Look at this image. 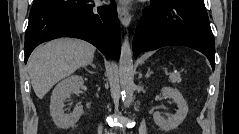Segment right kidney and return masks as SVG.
I'll return each instance as SVG.
<instances>
[{
    "instance_id": "1",
    "label": "right kidney",
    "mask_w": 239,
    "mask_h": 134,
    "mask_svg": "<svg viewBox=\"0 0 239 134\" xmlns=\"http://www.w3.org/2000/svg\"><path fill=\"white\" fill-rule=\"evenodd\" d=\"M83 83L84 80L82 76L72 75L62 80L54 88L51 96L50 114L57 127L67 129L75 125L83 114V106L81 105L76 106L70 114H65L63 110L64 101L70 94H78L80 92V86Z\"/></svg>"
}]
</instances>
